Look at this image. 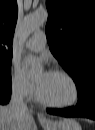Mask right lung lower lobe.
Masks as SVG:
<instances>
[{
  "label": "right lung lower lobe",
  "instance_id": "obj_1",
  "mask_svg": "<svg viewBox=\"0 0 95 130\" xmlns=\"http://www.w3.org/2000/svg\"><path fill=\"white\" fill-rule=\"evenodd\" d=\"M11 97V86L8 88H0V104H7Z\"/></svg>",
  "mask_w": 95,
  "mask_h": 130
}]
</instances>
